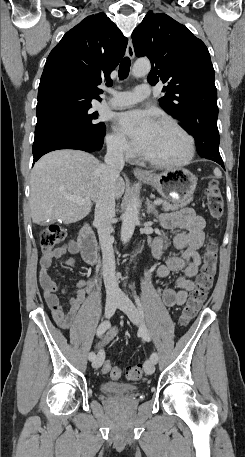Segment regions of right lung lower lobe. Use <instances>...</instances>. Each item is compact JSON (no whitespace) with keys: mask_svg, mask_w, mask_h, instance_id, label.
Wrapping results in <instances>:
<instances>
[{"mask_svg":"<svg viewBox=\"0 0 245 457\" xmlns=\"http://www.w3.org/2000/svg\"><path fill=\"white\" fill-rule=\"evenodd\" d=\"M103 143H96L81 132L68 129H53L35 135L33 165L44 154L59 149H77L97 153Z\"/></svg>","mask_w":245,"mask_h":457,"instance_id":"obj_1","label":"right lung lower lobe"}]
</instances>
